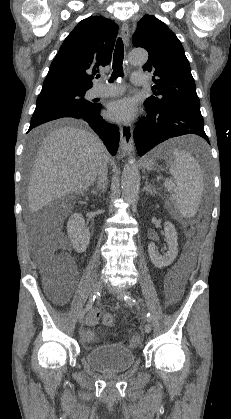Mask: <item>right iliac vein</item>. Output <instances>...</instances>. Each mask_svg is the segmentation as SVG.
I'll return each mask as SVG.
<instances>
[{"mask_svg":"<svg viewBox=\"0 0 231 419\" xmlns=\"http://www.w3.org/2000/svg\"><path fill=\"white\" fill-rule=\"evenodd\" d=\"M102 287H103L102 280H97L93 285V289H92L93 294H97L99 291H101ZM85 314H86V310H83L79 313V315H78V321L79 322L83 321V319L85 317Z\"/></svg>","mask_w":231,"mask_h":419,"instance_id":"obj_1","label":"right iliac vein"}]
</instances>
